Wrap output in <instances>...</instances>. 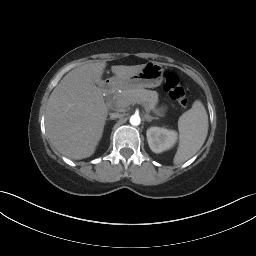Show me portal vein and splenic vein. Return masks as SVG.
I'll return each mask as SVG.
<instances>
[{
    "mask_svg": "<svg viewBox=\"0 0 256 256\" xmlns=\"http://www.w3.org/2000/svg\"><path fill=\"white\" fill-rule=\"evenodd\" d=\"M142 106L145 108V110H146L147 112L150 111V110H149L146 106H144L143 104H142Z\"/></svg>",
    "mask_w": 256,
    "mask_h": 256,
    "instance_id": "portal-vein-and-splenic-vein-1",
    "label": "portal vein and splenic vein"
}]
</instances>
